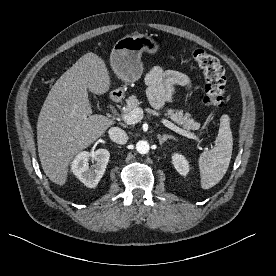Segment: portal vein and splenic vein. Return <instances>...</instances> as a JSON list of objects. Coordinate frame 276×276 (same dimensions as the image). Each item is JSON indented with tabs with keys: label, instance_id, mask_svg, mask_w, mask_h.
<instances>
[{
	"label": "portal vein and splenic vein",
	"instance_id": "portal-vein-and-splenic-vein-1",
	"mask_svg": "<svg viewBox=\"0 0 276 276\" xmlns=\"http://www.w3.org/2000/svg\"><path fill=\"white\" fill-rule=\"evenodd\" d=\"M142 118H143V109L140 107L133 109L128 114L122 115V119L124 120V122H126L127 124H130V125L138 123ZM161 123L163 125H165L166 127H168L169 129L177 132L178 134H181L187 138L196 140L199 143L201 142V140L194 133H191L189 131H186V130H183V129L177 127L171 121H169L165 118H161Z\"/></svg>",
	"mask_w": 276,
	"mask_h": 276
}]
</instances>
